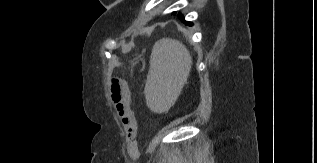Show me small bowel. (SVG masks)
Masks as SVG:
<instances>
[{
	"label": "small bowel",
	"instance_id": "c3829d8e",
	"mask_svg": "<svg viewBox=\"0 0 317 163\" xmlns=\"http://www.w3.org/2000/svg\"><path fill=\"white\" fill-rule=\"evenodd\" d=\"M115 105H116L117 114H118L119 118L121 119L123 125L127 129L128 136L130 138V136H131V134L136 126L134 113H133L131 106H130V93H129V100L126 103L120 104V103L115 102Z\"/></svg>",
	"mask_w": 317,
	"mask_h": 163
}]
</instances>
